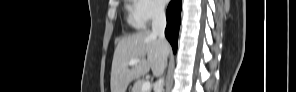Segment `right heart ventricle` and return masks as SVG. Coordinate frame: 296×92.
Listing matches in <instances>:
<instances>
[{
    "label": "right heart ventricle",
    "mask_w": 296,
    "mask_h": 92,
    "mask_svg": "<svg viewBox=\"0 0 296 92\" xmlns=\"http://www.w3.org/2000/svg\"><path fill=\"white\" fill-rule=\"evenodd\" d=\"M131 12H132V10H131ZM129 23H130L131 25H133L134 27H139V26H140V25L134 20L133 17H130V18H129Z\"/></svg>",
    "instance_id": "obj_1"
}]
</instances>
